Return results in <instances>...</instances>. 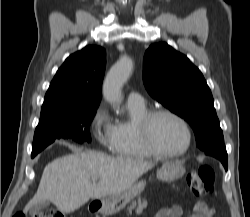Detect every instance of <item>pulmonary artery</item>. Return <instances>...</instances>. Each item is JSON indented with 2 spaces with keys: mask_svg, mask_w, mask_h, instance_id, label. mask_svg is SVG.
Segmentation results:
<instances>
[{
  "mask_svg": "<svg viewBox=\"0 0 250 217\" xmlns=\"http://www.w3.org/2000/svg\"><path fill=\"white\" fill-rule=\"evenodd\" d=\"M127 103L133 105H142L144 104V98L140 93L136 91H131L128 94Z\"/></svg>",
  "mask_w": 250,
  "mask_h": 217,
  "instance_id": "pulmonary-artery-1",
  "label": "pulmonary artery"
}]
</instances>
